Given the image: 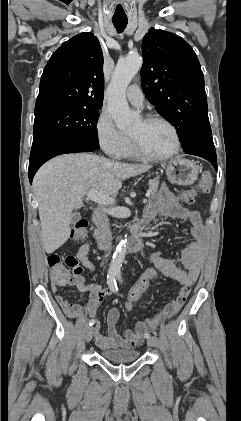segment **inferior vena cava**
I'll return each instance as SVG.
<instances>
[{"label":"inferior vena cava","instance_id":"1","mask_svg":"<svg viewBox=\"0 0 241 421\" xmlns=\"http://www.w3.org/2000/svg\"><path fill=\"white\" fill-rule=\"evenodd\" d=\"M93 218L103 233L108 251V253H106L105 255V258H107L112 245V233L110 230L109 219L106 215L105 209L97 208L94 211Z\"/></svg>","mask_w":241,"mask_h":421}]
</instances>
